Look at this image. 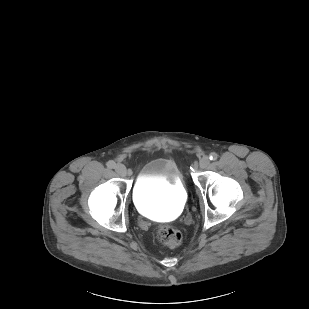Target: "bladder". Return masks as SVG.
Instances as JSON below:
<instances>
[{
    "label": "bladder",
    "mask_w": 309,
    "mask_h": 309,
    "mask_svg": "<svg viewBox=\"0 0 309 309\" xmlns=\"http://www.w3.org/2000/svg\"><path fill=\"white\" fill-rule=\"evenodd\" d=\"M133 199L136 208L145 215L162 220L176 216L187 200L177 163L170 158L145 163L136 176Z\"/></svg>",
    "instance_id": "31cf9c89"
}]
</instances>
